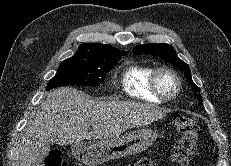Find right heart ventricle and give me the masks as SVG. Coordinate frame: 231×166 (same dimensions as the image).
Masks as SVG:
<instances>
[{
  "mask_svg": "<svg viewBox=\"0 0 231 166\" xmlns=\"http://www.w3.org/2000/svg\"><path fill=\"white\" fill-rule=\"evenodd\" d=\"M155 68L151 65L134 63L125 68L121 84L125 93L136 100L161 103L150 90V78Z\"/></svg>",
  "mask_w": 231,
  "mask_h": 166,
  "instance_id": "right-heart-ventricle-1",
  "label": "right heart ventricle"
}]
</instances>
